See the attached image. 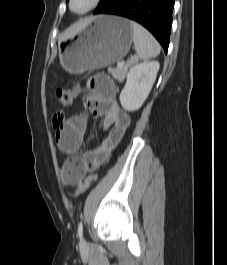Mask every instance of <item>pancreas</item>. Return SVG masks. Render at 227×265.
Segmentation results:
<instances>
[{
    "label": "pancreas",
    "instance_id": "obj_1",
    "mask_svg": "<svg viewBox=\"0 0 227 265\" xmlns=\"http://www.w3.org/2000/svg\"><path fill=\"white\" fill-rule=\"evenodd\" d=\"M130 62L127 63L125 66L123 67H118L116 69L114 68H109L108 72L115 78L117 79L119 82H123L125 79V76L127 74L128 68L130 66Z\"/></svg>",
    "mask_w": 227,
    "mask_h": 265
}]
</instances>
